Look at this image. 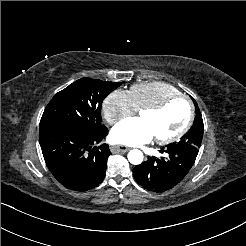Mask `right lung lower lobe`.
<instances>
[{
	"label": "right lung lower lobe",
	"instance_id": "right-lung-lower-lobe-1",
	"mask_svg": "<svg viewBox=\"0 0 246 246\" xmlns=\"http://www.w3.org/2000/svg\"><path fill=\"white\" fill-rule=\"evenodd\" d=\"M107 134L104 125L94 130L70 124L40 127V146L48 169L68 189L94 188L105 176L111 152L106 144L93 145Z\"/></svg>",
	"mask_w": 246,
	"mask_h": 246
}]
</instances>
